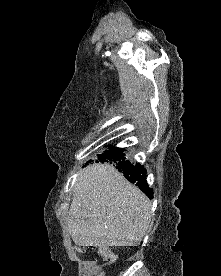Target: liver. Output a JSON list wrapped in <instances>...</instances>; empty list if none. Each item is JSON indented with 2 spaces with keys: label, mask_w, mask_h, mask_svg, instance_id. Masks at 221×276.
Here are the masks:
<instances>
[{
  "label": "liver",
  "mask_w": 221,
  "mask_h": 276,
  "mask_svg": "<svg viewBox=\"0 0 221 276\" xmlns=\"http://www.w3.org/2000/svg\"><path fill=\"white\" fill-rule=\"evenodd\" d=\"M150 218V200L113 166L94 164L78 174L67 218L76 245L135 246Z\"/></svg>",
  "instance_id": "obj_1"
}]
</instances>
